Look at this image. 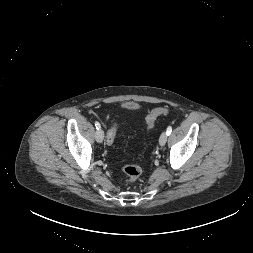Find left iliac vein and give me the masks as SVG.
<instances>
[{"instance_id": "4c4485c4", "label": "left iliac vein", "mask_w": 253, "mask_h": 253, "mask_svg": "<svg viewBox=\"0 0 253 253\" xmlns=\"http://www.w3.org/2000/svg\"><path fill=\"white\" fill-rule=\"evenodd\" d=\"M167 132H163L159 138V144L160 146H164L166 144V141H167Z\"/></svg>"}]
</instances>
